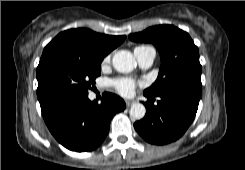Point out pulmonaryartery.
Masks as SVG:
<instances>
[{"label":"pulmonary artery","instance_id":"1","mask_svg":"<svg viewBox=\"0 0 245 170\" xmlns=\"http://www.w3.org/2000/svg\"><path fill=\"white\" fill-rule=\"evenodd\" d=\"M134 53L141 67L148 68L152 65L155 58L153 49H147L143 52L135 51Z\"/></svg>","mask_w":245,"mask_h":170}]
</instances>
